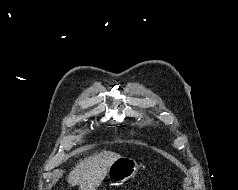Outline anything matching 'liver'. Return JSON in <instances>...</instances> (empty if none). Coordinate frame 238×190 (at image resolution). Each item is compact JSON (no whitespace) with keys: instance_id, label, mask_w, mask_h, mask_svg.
Returning <instances> with one entry per match:
<instances>
[{"instance_id":"6515ba94","label":"liver","mask_w":238,"mask_h":190,"mask_svg":"<svg viewBox=\"0 0 238 190\" xmlns=\"http://www.w3.org/2000/svg\"><path fill=\"white\" fill-rule=\"evenodd\" d=\"M119 158V154L111 151L96 152L80 160L69 173L67 181L71 186L79 185V190H96L110 166Z\"/></svg>"}]
</instances>
